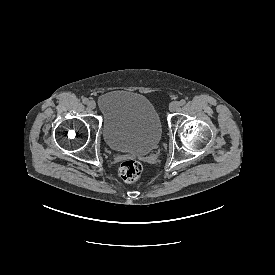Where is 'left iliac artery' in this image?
Masks as SVG:
<instances>
[{
  "label": "left iliac artery",
  "mask_w": 275,
  "mask_h": 275,
  "mask_svg": "<svg viewBox=\"0 0 275 275\" xmlns=\"http://www.w3.org/2000/svg\"><path fill=\"white\" fill-rule=\"evenodd\" d=\"M185 103H186V101H185L184 99L180 100V102H179V104H180L181 106H183Z\"/></svg>",
  "instance_id": "44dca946"
}]
</instances>
